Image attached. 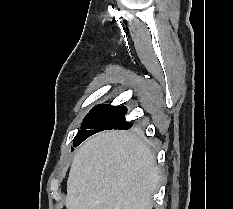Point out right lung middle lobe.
I'll use <instances>...</instances> for the list:
<instances>
[{
  "instance_id": "dd1d6c3e",
  "label": "right lung middle lobe",
  "mask_w": 233,
  "mask_h": 209,
  "mask_svg": "<svg viewBox=\"0 0 233 209\" xmlns=\"http://www.w3.org/2000/svg\"><path fill=\"white\" fill-rule=\"evenodd\" d=\"M127 108L125 106H112L99 104L95 106L85 117L80 132L74 138V146H78L79 142L86 136L100 131L102 129L127 126L128 129L132 124L125 119Z\"/></svg>"
}]
</instances>
